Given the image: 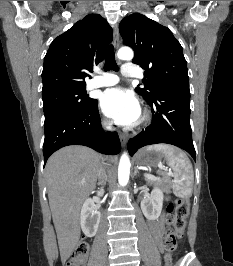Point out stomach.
I'll return each instance as SVG.
<instances>
[{
    "label": "stomach",
    "instance_id": "1",
    "mask_svg": "<svg viewBox=\"0 0 233 266\" xmlns=\"http://www.w3.org/2000/svg\"><path fill=\"white\" fill-rule=\"evenodd\" d=\"M165 155L155 150L143 149L135 156V163L139 166L157 167L165 160Z\"/></svg>",
    "mask_w": 233,
    "mask_h": 266
}]
</instances>
